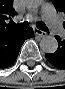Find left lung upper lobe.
Here are the masks:
<instances>
[{"instance_id":"obj_1","label":"left lung upper lobe","mask_w":65,"mask_h":89,"mask_svg":"<svg viewBox=\"0 0 65 89\" xmlns=\"http://www.w3.org/2000/svg\"><path fill=\"white\" fill-rule=\"evenodd\" d=\"M55 5L57 11H61L65 13V0H51ZM65 28V22L63 23Z\"/></svg>"}]
</instances>
